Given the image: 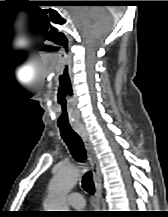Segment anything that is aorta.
Returning <instances> with one entry per match:
<instances>
[{"label":"aorta","instance_id":"obj_1","mask_svg":"<svg viewBox=\"0 0 168 217\" xmlns=\"http://www.w3.org/2000/svg\"><path fill=\"white\" fill-rule=\"evenodd\" d=\"M79 179V170L76 167L59 169L52 178L48 187V196L44 203L46 211H69L66 196Z\"/></svg>","mask_w":168,"mask_h":217}]
</instances>
